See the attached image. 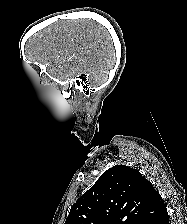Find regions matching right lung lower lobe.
I'll list each match as a JSON object with an SVG mask.
<instances>
[{"instance_id": "right-lung-lower-lobe-1", "label": "right lung lower lobe", "mask_w": 187, "mask_h": 224, "mask_svg": "<svg viewBox=\"0 0 187 224\" xmlns=\"http://www.w3.org/2000/svg\"><path fill=\"white\" fill-rule=\"evenodd\" d=\"M156 224H169L168 214L163 216Z\"/></svg>"}]
</instances>
